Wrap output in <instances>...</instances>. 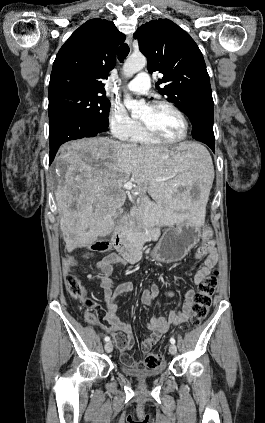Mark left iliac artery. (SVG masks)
I'll use <instances>...</instances> for the list:
<instances>
[{
    "mask_svg": "<svg viewBox=\"0 0 265 423\" xmlns=\"http://www.w3.org/2000/svg\"><path fill=\"white\" fill-rule=\"evenodd\" d=\"M170 342H171L172 344H175V342H176V341H175V339H174L173 337H171V338H170Z\"/></svg>",
    "mask_w": 265,
    "mask_h": 423,
    "instance_id": "1",
    "label": "left iliac artery"
}]
</instances>
